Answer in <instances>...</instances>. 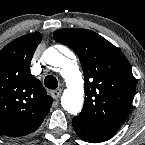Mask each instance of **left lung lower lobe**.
<instances>
[{
	"mask_svg": "<svg viewBox=\"0 0 145 145\" xmlns=\"http://www.w3.org/2000/svg\"><path fill=\"white\" fill-rule=\"evenodd\" d=\"M72 125L77 135L82 140L90 143L106 141L115 134V131L97 128L79 117L73 119Z\"/></svg>",
	"mask_w": 145,
	"mask_h": 145,
	"instance_id": "obj_1",
	"label": "left lung lower lobe"
}]
</instances>
